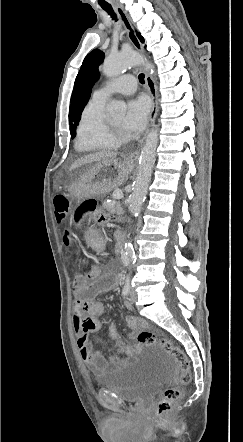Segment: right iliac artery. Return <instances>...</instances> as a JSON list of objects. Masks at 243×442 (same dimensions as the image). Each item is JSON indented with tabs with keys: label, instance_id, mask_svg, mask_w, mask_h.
Returning a JSON list of instances; mask_svg holds the SVG:
<instances>
[{
	"label": "right iliac artery",
	"instance_id": "obj_1",
	"mask_svg": "<svg viewBox=\"0 0 243 442\" xmlns=\"http://www.w3.org/2000/svg\"><path fill=\"white\" fill-rule=\"evenodd\" d=\"M130 288H131V286H130V281H129V279L127 278V279H126V282H125V285H124V287H123V290H122V295H123V296H127V295L129 294V292H130Z\"/></svg>",
	"mask_w": 243,
	"mask_h": 442
}]
</instances>
